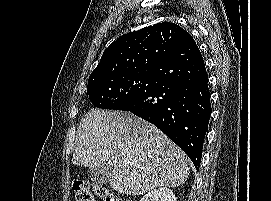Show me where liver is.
<instances>
[{
	"instance_id": "1",
	"label": "liver",
	"mask_w": 271,
	"mask_h": 201,
	"mask_svg": "<svg viewBox=\"0 0 271 201\" xmlns=\"http://www.w3.org/2000/svg\"><path fill=\"white\" fill-rule=\"evenodd\" d=\"M74 165L107 163L110 186L141 195L157 187L184 184L190 170L186 154L153 124L128 112L93 109L81 120Z\"/></svg>"
}]
</instances>
